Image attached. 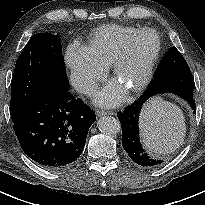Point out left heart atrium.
Returning a JSON list of instances; mask_svg holds the SVG:
<instances>
[{
	"label": "left heart atrium",
	"instance_id": "1",
	"mask_svg": "<svg viewBox=\"0 0 205 205\" xmlns=\"http://www.w3.org/2000/svg\"><path fill=\"white\" fill-rule=\"evenodd\" d=\"M124 96L123 89L120 85L112 83L99 93L97 103L103 106H114Z\"/></svg>",
	"mask_w": 205,
	"mask_h": 205
}]
</instances>
